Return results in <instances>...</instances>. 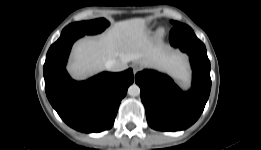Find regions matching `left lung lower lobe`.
<instances>
[{
  "mask_svg": "<svg viewBox=\"0 0 261 150\" xmlns=\"http://www.w3.org/2000/svg\"><path fill=\"white\" fill-rule=\"evenodd\" d=\"M172 46L190 57L192 87L183 92L167 75L143 70L135 76L141 89L149 126L155 130L178 131L191 126L201 115L211 89L210 61L205 45L185 25H174L169 34Z\"/></svg>",
  "mask_w": 261,
  "mask_h": 150,
  "instance_id": "1",
  "label": "left lung lower lobe"
}]
</instances>
